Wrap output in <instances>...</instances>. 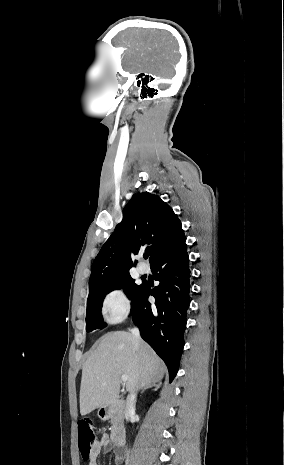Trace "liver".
<instances>
[{
	"label": "liver",
	"mask_w": 284,
	"mask_h": 465,
	"mask_svg": "<svg viewBox=\"0 0 284 465\" xmlns=\"http://www.w3.org/2000/svg\"><path fill=\"white\" fill-rule=\"evenodd\" d=\"M165 365L153 349L130 333H107L82 369L80 413L88 415L118 399L121 375H127V391L134 393L161 381Z\"/></svg>",
	"instance_id": "6515ba94"
}]
</instances>
